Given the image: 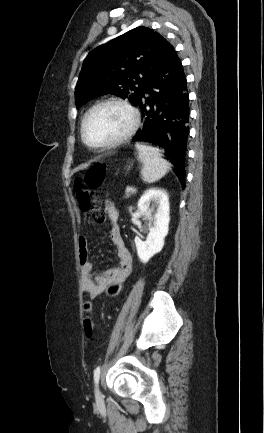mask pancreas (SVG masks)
Instances as JSON below:
<instances>
[{"label": "pancreas", "mask_w": 264, "mask_h": 433, "mask_svg": "<svg viewBox=\"0 0 264 433\" xmlns=\"http://www.w3.org/2000/svg\"><path fill=\"white\" fill-rule=\"evenodd\" d=\"M131 193H126V196L124 198H128Z\"/></svg>", "instance_id": "obj_1"}]
</instances>
